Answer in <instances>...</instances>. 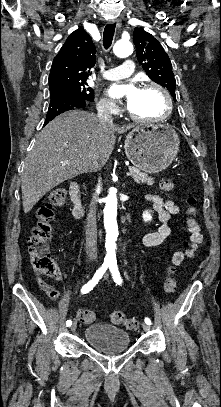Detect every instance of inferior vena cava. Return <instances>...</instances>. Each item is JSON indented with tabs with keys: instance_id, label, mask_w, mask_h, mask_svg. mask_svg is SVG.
Returning a JSON list of instances; mask_svg holds the SVG:
<instances>
[{
	"instance_id": "inferior-vena-cava-1",
	"label": "inferior vena cava",
	"mask_w": 221,
	"mask_h": 407,
	"mask_svg": "<svg viewBox=\"0 0 221 407\" xmlns=\"http://www.w3.org/2000/svg\"><path fill=\"white\" fill-rule=\"evenodd\" d=\"M97 118L99 123L103 126H112L113 125V117L111 115L110 106L107 104H101L97 106ZM101 169L100 164L95 165V171L98 172ZM85 234H86V243L85 249L86 254L89 260H96L97 259V227H96V208L95 204L91 202L89 206V212L86 217V226H85Z\"/></svg>"
}]
</instances>
